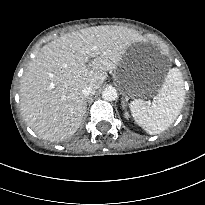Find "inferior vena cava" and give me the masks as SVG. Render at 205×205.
Listing matches in <instances>:
<instances>
[{"mask_svg": "<svg viewBox=\"0 0 205 205\" xmlns=\"http://www.w3.org/2000/svg\"><path fill=\"white\" fill-rule=\"evenodd\" d=\"M95 92H96V88H95L94 85H87V86H85V87L82 89V94H83L85 97L94 95Z\"/></svg>", "mask_w": 205, "mask_h": 205, "instance_id": "inferior-vena-cava-1", "label": "inferior vena cava"}]
</instances>
